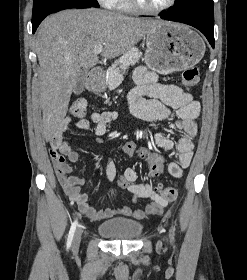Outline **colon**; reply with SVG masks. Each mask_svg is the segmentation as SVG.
Instances as JSON below:
<instances>
[{"label":"colon","mask_w":247,"mask_h":280,"mask_svg":"<svg viewBox=\"0 0 247 280\" xmlns=\"http://www.w3.org/2000/svg\"><path fill=\"white\" fill-rule=\"evenodd\" d=\"M200 74L197 67H190L183 71L182 81L183 84L192 88L196 86L199 82ZM87 101L85 99H77L71 105V113L75 117H82L86 114ZM122 150L128 156H140L145 158L151 164L150 174L153 177L159 176L163 172L164 159L160 155L150 151L148 148L139 145L134 141H128L123 144ZM52 162L56 173L59 176H69L71 173V167L67 164L65 157L59 154L54 149L49 150ZM116 183L120 191H127L130 186V181L126 176H118L116 178ZM158 190L161 196L167 201H173L177 196V188L175 186H163L159 185Z\"/></svg>","instance_id":"obj_1"}]
</instances>
